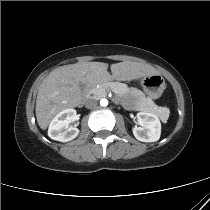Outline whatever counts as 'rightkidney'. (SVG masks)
I'll return each instance as SVG.
<instances>
[{"label": "right kidney", "mask_w": 210, "mask_h": 210, "mask_svg": "<svg viewBox=\"0 0 210 210\" xmlns=\"http://www.w3.org/2000/svg\"><path fill=\"white\" fill-rule=\"evenodd\" d=\"M76 119L75 109H66L58 113L51 121L48 128V136L56 141L67 142L76 138L79 129L69 127V123Z\"/></svg>", "instance_id": "right-kidney-1"}]
</instances>
